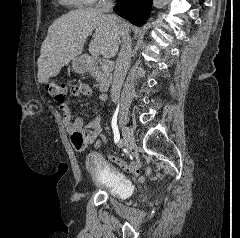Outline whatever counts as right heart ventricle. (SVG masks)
<instances>
[{
    "label": "right heart ventricle",
    "instance_id": "obj_1",
    "mask_svg": "<svg viewBox=\"0 0 240 238\" xmlns=\"http://www.w3.org/2000/svg\"><path fill=\"white\" fill-rule=\"evenodd\" d=\"M64 6L70 8H81L91 3L90 0H58Z\"/></svg>",
    "mask_w": 240,
    "mask_h": 238
}]
</instances>
